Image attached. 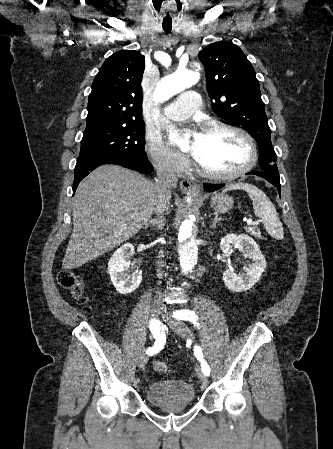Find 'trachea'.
<instances>
[{
	"instance_id": "3493384b",
	"label": "trachea",
	"mask_w": 333,
	"mask_h": 449,
	"mask_svg": "<svg viewBox=\"0 0 333 449\" xmlns=\"http://www.w3.org/2000/svg\"><path fill=\"white\" fill-rule=\"evenodd\" d=\"M164 31L166 33H170L171 32V27L167 28V27H163Z\"/></svg>"
}]
</instances>
